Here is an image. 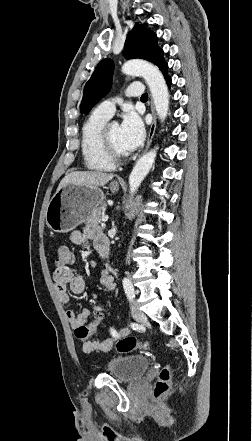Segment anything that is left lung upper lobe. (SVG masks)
<instances>
[{"instance_id":"5c2ea615","label":"left lung upper lobe","mask_w":252,"mask_h":441,"mask_svg":"<svg viewBox=\"0 0 252 441\" xmlns=\"http://www.w3.org/2000/svg\"><path fill=\"white\" fill-rule=\"evenodd\" d=\"M147 26V24H135L126 39L123 55L127 59H144L156 65L163 51L158 47L157 35ZM113 71L114 64L110 59H104L97 65L85 85L80 106L81 113L87 114L108 93Z\"/></svg>"}]
</instances>
